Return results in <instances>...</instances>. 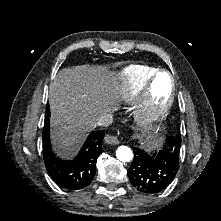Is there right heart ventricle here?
<instances>
[{"label": "right heart ventricle", "instance_id": "e07e8e85", "mask_svg": "<svg viewBox=\"0 0 221 221\" xmlns=\"http://www.w3.org/2000/svg\"><path fill=\"white\" fill-rule=\"evenodd\" d=\"M157 71L158 69L145 65H131L124 69L122 75L126 80V99H134L146 87Z\"/></svg>", "mask_w": 221, "mask_h": 221}]
</instances>
